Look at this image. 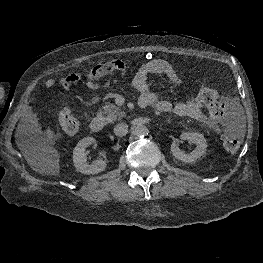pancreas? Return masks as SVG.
Wrapping results in <instances>:
<instances>
[{
  "label": "pancreas",
  "mask_w": 263,
  "mask_h": 263,
  "mask_svg": "<svg viewBox=\"0 0 263 263\" xmlns=\"http://www.w3.org/2000/svg\"><path fill=\"white\" fill-rule=\"evenodd\" d=\"M100 114H105V120L108 123H111L115 120H120L125 116V113L121 111V109L114 104L105 105L103 109L100 110Z\"/></svg>",
  "instance_id": "cf45deb5"
}]
</instances>
